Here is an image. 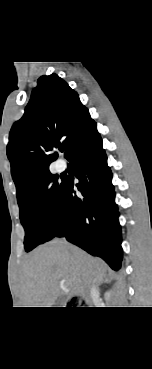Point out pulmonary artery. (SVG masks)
<instances>
[{
  "mask_svg": "<svg viewBox=\"0 0 152 369\" xmlns=\"http://www.w3.org/2000/svg\"><path fill=\"white\" fill-rule=\"evenodd\" d=\"M56 168H57V170L58 171H64L65 170V168H66V165H65V163L64 162H62V161H58L57 163H56Z\"/></svg>",
  "mask_w": 152,
  "mask_h": 369,
  "instance_id": "e3ab8cb5",
  "label": "pulmonary artery"
}]
</instances>
